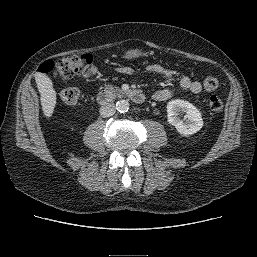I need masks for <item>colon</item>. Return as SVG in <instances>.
I'll list each match as a JSON object with an SVG mask.
<instances>
[{
	"instance_id": "1",
	"label": "colon",
	"mask_w": 257,
	"mask_h": 257,
	"mask_svg": "<svg viewBox=\"0 0 257 257\" xmlns=\"http://www.w3.org/2000/svg\"><path fill=\"white\" fill-rule=\"evenodd\" d=\"M40 70L44 73H53L63 81L71 79L75 75L90 76L94 74L93 58L89 54L62 57L58 60L45 61ZM217 78L208 76L203 81L207 92H214L218 88ZM61 100L66 104H76L80 99V92L75 88L64 89L60 94ZM209 107L213 112H219L223 108V102L217 95L209 98Z\"/></svg>"
}]
</instances>
